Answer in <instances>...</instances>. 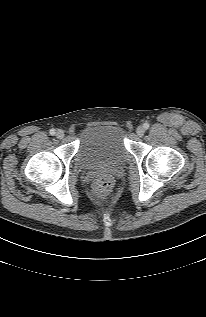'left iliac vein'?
<instances>
[{"mask_svg":"<svg viewBox=\"0 0 206 317\" xmlns=\"http://www.w3.org/2000/svg\"><path fill=\"white\" fill-rule=\"evenodd\" d=\"M136 133H137V135H138L139 137H142V136L144 135V133H145L144 127H142V126L137 127Z\"/></svg>","mask_w":206,"mask_h":317,"instance_id":"4c4485c4","label":"left iliac vein"}]
</instances>
